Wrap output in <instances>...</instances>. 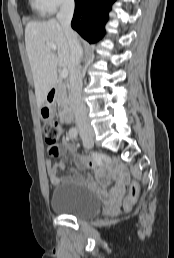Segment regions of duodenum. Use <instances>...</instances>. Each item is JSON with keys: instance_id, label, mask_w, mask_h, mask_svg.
I'll return each mask as SVG.
<instances>
[{"instance_id": "duodenum-1", "label": "duodenum", "mask_w": 174, "mask_h": 258, "mask_svg": "<svg viewBox=\"0 0 174 258\" xmlns=\"http://www.w3.org/2000/svg\"><path fill=\"white\" fill-rule=\"evenodd\" d=\"M58 94V87L53 86L51 87L47 92V100L50 105H53L55 103V97ZM65 123H71L74 118V112L73 109L70 107H67L62 116Z\"/></svg>"}]
</instances>
